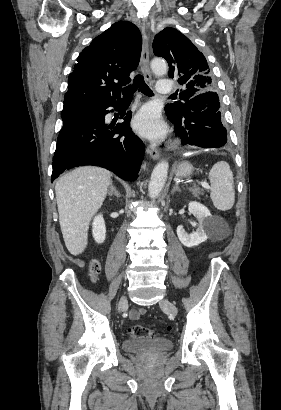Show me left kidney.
I'll use <instances>...</instances> for the list:
<instances>
[{
	"mask_svg": "<svg viewBox=\"0 0 281 410\" xmlns=\"http://www.w3.org/2000/svg\"><path fill=\"white\" fill-rule=\"evenodd\" d=\"M189 211L197 218L199 226L192 234H188L183 226H178L177 235L180 242L190 248L207 240L206 227L209 225L211 213L206 206L195 201L189 203Z\"/></svg>",
	"mask_w": 281,
	"mask_h": 410,
	"instance_id": "5707ae66",
	"label": "left kidney"
}]
</instances>
